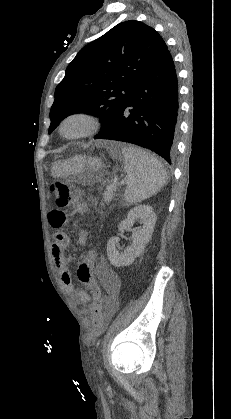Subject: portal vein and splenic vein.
<instances>
[{
    "label": "portal vein and splenic vein",
    "instance_id": "18ae733b",
    "mask_svg": "<svg viewBox=\"0 0 231 419\" xmlns=\"http://www.w3.org/2000/svg\"><path fill=\"white\" fill-rule=\"evenodd\" d=\"M117 180H114V182L112 183V184H110L109 186H108V188L109 189H116V184H117Z\"/></svg>",
    "mask_w": 231,
    "mask_h": 419
}]
</instances>
